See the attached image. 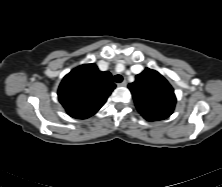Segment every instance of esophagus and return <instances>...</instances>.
Returning a JSON list of instances; mask_svg holds the SVG:
<instances>
[{
	"instance_id": "esophagus-1",
	"label": "esophagus",
	"mask_w": 222,
	"mask_h": 187,
	"mask_svg": "<svg viewBox=\"0 0 222 187\" xmlns=\"http://www.w3.org/2000/svg\"><path fill=\"white\" fill-rule=\"evenodd\" d=\"M126 85H127V81L126 80H124L123 82L118 84V86H120V87H124Z\"/></svg>"
}]
</instances>
